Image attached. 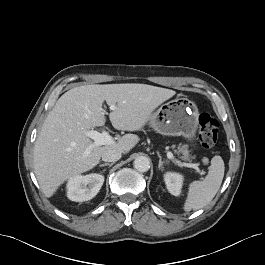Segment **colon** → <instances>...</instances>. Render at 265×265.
I'll list each match as a JSON object with an SVG mask.
<instances>
[{"mask_svg": "<svg viewBox=\"0 0 265 265\" xmlns=\"http://www.w3.org/2000/svg\"><path fill=\"white\" fill-rule=\"evenodd\" d=\"M198 122V135L201 144L205 148L213 147L218 135V121L209 113H202Z\"/></svg>", "mask_w": 265, "mask_h": 265, "instance_id": "5ec220e1", "label": "colon"}]
</instances>
